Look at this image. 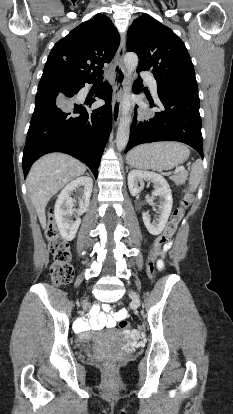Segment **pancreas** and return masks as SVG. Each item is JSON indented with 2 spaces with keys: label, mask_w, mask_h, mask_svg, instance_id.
Here are the masks:
<instances>
[{
  "label": "pancreas",
  "mask_w": 233,
  "mask_h": 414,
  "mask_svg": "<svg viewBox=\"0 0 233 414\" xmlns=\"http://www.w3.org/2000/svg\"><path fill=\"white\" fill-rule=\"evenodd\" d=\"M172 179L174 181L178 182V183H182L186 179V173L181 172V173L177 174L176 176H174Z\"/></svg>",
  "instance_id": "cf45deb5"
}]
</instances>
